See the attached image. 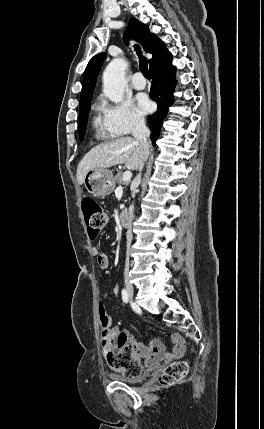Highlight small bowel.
Here are the masks:
<instances>
[{
    "label": "small bowel",
    "instance_id": "small-bowel-1",
    "mask_svg": "<svg viewBox=\"0 0 264 429\" xmlns=\"http://www.w3.org/2000/svg\"><path fill=\"white\" fill-rule=\"evenodd\" d=\"M93 255L97 258L98 264L102 269L109 266V258L99 248L92 249ZM118 293V287L114 288V294ZM104 306L102 303H100ZM132 345L134 356L143 361L145 366H152L164 359L181 357L185 352V342L179 335H173L174 348L171 352H166L163 343L159 340H153L149 344L137 342L133 337H128Z\"/></svg>",
    "mask_w": 264,
    "mask_h": 429
}]
</instances>
